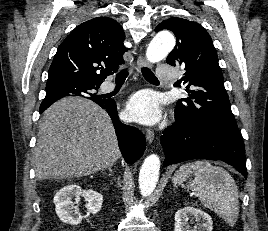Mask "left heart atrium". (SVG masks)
Masks as SVG:
<instances>
[{"mask_svg": "<svg viewBox=\"0 0 268 231\" xmlns=\"http://www.w3.org/2000/svg\"><path fill=\"white\" fill-rule=\"evenodd\" d=\"M125 115L127 120L144 125L158 122L162 112L155 94L149 90L135 93L127 102Z\"/></svg>", "mask_w": 268, "mask_h": 231, "instance_id": "39dd6f15", "label": "left heart atrium"}]
</instances>
